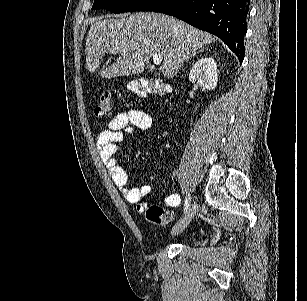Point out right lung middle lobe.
Listing matches in <instances>:
<instances>
[{
	"label": "right lung middle lobe",
	"mask_w": 307,
	"mask_h": 301,
	"mask_svg": "<svg viewBox=\"0 0 307 301\" xmlns=\"http://www.w3.org/2000/svg\"><path fill=\"white\" fill-rule=\"evenodd\" d=\"M154 0H95L92 10L107 9L113 13L142 11Z\"/></svg>",
	"instance_id": "obj_1"
}]
</instances>
